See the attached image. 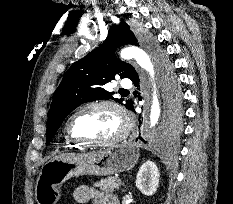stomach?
Instances as JSON below:
<instances>
[{"mask_svg": "<svg viewBox=\"0 0 233 204\" xmlns=\"http://www.w3.org/2000/svg\"><path fill=\"white\" fill-rule=\"evenodd\" d=\"M139 156V147L128 141L89 154L55 157L41 168L35 186V200L37 204H56L61 196V185L70 178L110 176L128 171L136 165Z\"/></svg>", "mask_w": 233, "mask_h": 204, "instance_id": "obj_1", "label": "stomach"}]
</instances>
